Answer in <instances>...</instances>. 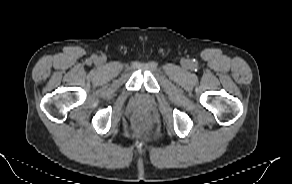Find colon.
Returning <instances> with one entry per match:
<instances>
[{"label": "colon", "mask_w": 292, "mask_h": 184, "mask_svg": "<svg viewBox=\"0 0 292 184\" xmlns=\"http://www.w3.org/2000/svg\"><path fill=\"white\" fill-rule=\"evenodd\" d=\"M136 126H137L138 128H141V127L143 126V124H142L141 122H137V123H136Z\"/></svg>", "instance_id": "5ec220e1"}]
</instances>
